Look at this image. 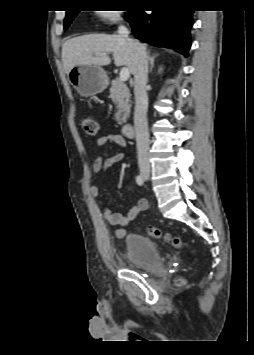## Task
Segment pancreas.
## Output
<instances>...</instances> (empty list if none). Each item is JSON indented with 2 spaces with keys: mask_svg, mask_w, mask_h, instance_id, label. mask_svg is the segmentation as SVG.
I'll use <instances>...</instances> for the list:
<instances>
[{
  "mask_svg": "<svg viewBox=\"0 0 254 355\" xmlns=\"http://www.w3.org/2000/svg\"><path fill=\"white\" fill-rule=\"evenodd\" d=\"M109 97L116 104L117 113L115 114V119L119 125H123L127 121L131 108V94L127 85L118 78L114 79L111 82Z\"/></svg>",
  "mask_w": 254,
  "mask_h": 355,
  "instance_id": "pancreas-1",
  "label": "pancreas"
}]
</instances>
